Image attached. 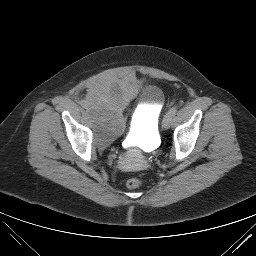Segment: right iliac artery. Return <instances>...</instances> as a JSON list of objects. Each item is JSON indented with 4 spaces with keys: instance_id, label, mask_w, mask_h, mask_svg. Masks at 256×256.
<instances>
[{
    "instance_id": "obj_1",
    "label": "right iliac artery",
    "mask_w": 256,
    "mask_h": 256,
    "mask_svg": "<svg viewBox=\"0 0 256 256\" xmlns=\"http://www.w3.org/2000/svg\"><path fill=\"white\" fill-rule=\"evenodd\" d=\"M82 105L83 106H85L86 105V101L84 100V101H82Z\"/></svg>"
}]
</instances>
